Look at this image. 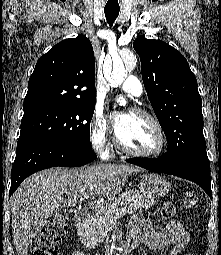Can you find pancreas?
Returning a JSON list of instances; mask_svg holds the SVG:
<instances>
[{
  "label": "pancreas",
  "instance_id": "1",
  "mask_svg": "<svg viewBox=\"0 0 221 255\" xmlns=\"http://www.w3.org/2000/svg\"><path fill=\"white\" fill-rule=\"evenodd\" d=\"M121 202H124V207L122 208L126 207L128 214H133L137 210L148 209L155 204L154 201L145 199L136 191L127 190L122 193L112 206L105 208L104 211L94 214L85 222V226L90 233L86 239L91 247L102 242L108 232L112 229L119 218L116 216V212L122 209L119 207Z\"/></svg>",
  "mask_w": 221,
  "mask_h": 255
}]
</instances>
